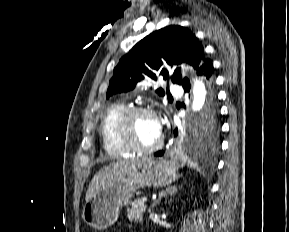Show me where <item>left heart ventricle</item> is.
<instances>
[{
  "label": "left heart ventricle",
  "instance_id": "obj_1",
  "mask_svg": "<svg viewBox=\"0 0 289 232\" xmlns=\"http://www.w3.org/2000/svg\"><path fill=\"white\" fill-rule=\"evenodd\" d=\"M132 134L141 146L149 147L156 144L160 138L157 120L145 114L136 116L132 121Z\"/></svg>",
  "mask_w": 289,
  "mask_h": 232
}]
</instances>
